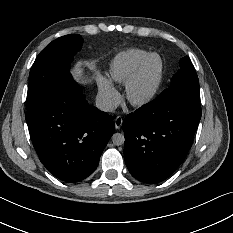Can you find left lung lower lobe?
Listing matches in <instances>:
<instances>
[{
  "mask_svg": "<svg viewBox=\"0 0 233 233\" xmlns=\"http://www.w3.org/2000/svg\"><path fill=\"white\" fill-rule=\"evenodd\" d=\"M201 118L197 102L155 99L123 120L124 158L131 175L155 184L168 178L188 153Z\"/></svg>",
  "mask_w": 233,
  "mask_h": 233,
  "instance_id": "left-lung-lower-lobe-1",
  "label": "left lung lower lobe"
}]
</instances>
